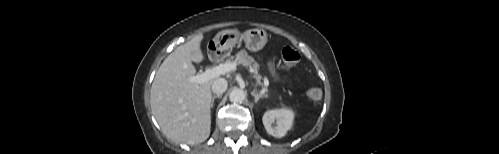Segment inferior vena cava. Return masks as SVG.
<instances>
[{
	"instance_id": "inferior-vena-cava-1",
	"label": "inferior vena cava",
	"mask_w": 499,
	"mask_h": 154,
	"mask_svg": "<svg viewBox=\"0 0 499 154\" xmlns=\"http://www.w3.org/2000/svg\"><path fill=\"white\" fill-rule=\"evenodd\" d=\"M227 86H228V83L226 81V79L224 78H217L214 80L213 84H212V92L217 94V95H221L222 93H224L227 89Z\"/></svg>"
}]
</instances>
